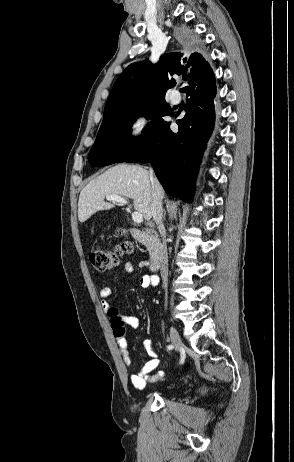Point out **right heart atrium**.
I'll use <instances>...</instances> for the list:
<instances>
[{"instance_id": "1", "label": "right heart atrium", "mask_w": 294, "mask_h": 462, "mask_svg": "<svg viewBox=\"0 0 294 462\" xmlns=\"http://www.w3.org/2000/svg\"><path fill=\"white\" fill-rule=\"evenodd\" d=\"M150 115L146 111L136 112L126 128V143L130 147H136L147 136L150 126Z\"/></svg>"}]
</instances>
